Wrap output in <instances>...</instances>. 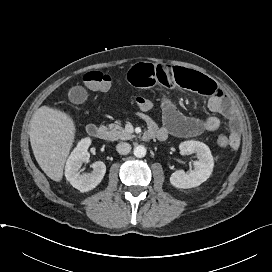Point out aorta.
<instances>
[{"label":"aorta","instance_id":"1","mask_svg":"<svg viewBox=\"0 0 272 272\" xmlns=\"http://www.w3.org/2000/svg\"><path fill=\"white\" fill-rule=\"evenodd\" d=\"M133 153H134L135 157L143 158L146 155V148L142 145H138L134 148Z\"/></svg>","mask_w":272,"mask_h":272}]
</instances>
